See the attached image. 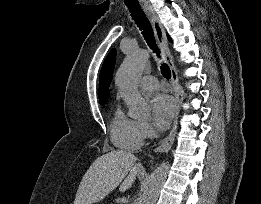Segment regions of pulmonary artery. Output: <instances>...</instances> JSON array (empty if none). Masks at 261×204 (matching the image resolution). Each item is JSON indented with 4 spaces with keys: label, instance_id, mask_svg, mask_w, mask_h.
<instances>
[{
    "label": "pulmonary artery",
    "instance_id": "1",
    "mask_svg": "<svg viewBox=\"0 0 261 204\" xmlns=\"http://www.w3.org/2000/svg\"><path fill=\"white\" fill-rule=\"evenodd\" d=\"M139 86L143 90H155L158 87V80L154 76H144L140 81H139Z\"/></svg>",
    "mask_w": 261,
    "mask_h": 204
}]
</instances>
